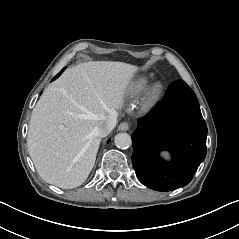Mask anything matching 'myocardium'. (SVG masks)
Listing matches in <instances>:
<instances>
[{"instance_id":"obj_1","label":"myocardium","mask_w":239,"mask_h":239,"mask_svg":"<svg viewBox=\"0 0 239 239\" xmlns=\"http://www.w3.org/2000/svg\"><path fill=\"white\" fill-rule=\"evenodd\" d=\"M166 86L162 81H155L152 83L145 92L140 110L143 114H150L154 112L161 104L165 97Z\"/></svg>"}]
</instances>
